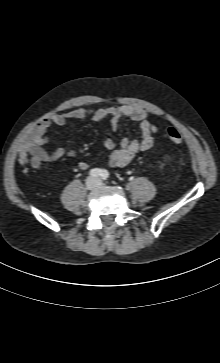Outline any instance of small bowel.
<instances>
[{
	"label": "small bowel",
	"mask_w": 220,
	"mask_h": 363,
	"mask_svg": "<svg viewBox=\"0 0 220 363\" xmlns=\"http://www.w3.org/2000/svg\"><path fill=\"white\" fill-rule=\"evenodd\" d=\"M105 117H110V125L113 131H117L122 118H128L137 123L141 130V137L129 140L123 138L116 145L113 139L107 138L103 145L110 151L107 164L110 167H122L129 164L140 152L149 150L154 143L157 133L156 126L150 121L148 114L141 108L132 106H114L98 109L78 108L65 114H55L47 119H43L30 133L26 143L19 151L18 157L24 167L39 169L43 163H54L64 156L74 157L75 150H66L59 146L49 153L43 149V145L49 141L47 132L51 126H64L70 119H91L100 121ZM80 170H87L90 167L88 162L78 163Z\"/></svg>",
	"instance_id": "1"
}]
</instances>
